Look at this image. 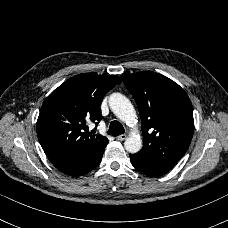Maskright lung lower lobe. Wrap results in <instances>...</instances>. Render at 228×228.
Wrapping results in <instances>:
<instances>
[{
  "label": "right lung lower lobe",
  "mask_w": 228,
  "mask_h": 228,
  "mask_svg": "<svg viewBox=\"0 0 228 228\" xmlns=\"http://www.w3.org/2000/svg\"><path fill=\"white\" fill-rule=\"evenodd\" d=\"M107 144H108V141L103 143L102 145L97 146L87 156L83 157L78 161L68 163V164L55 165V166L61 172L70 176L85 175L100 164L104 149Z\"/></svg>",
  "instance_id": "98d812e1"
}]
</instances>
